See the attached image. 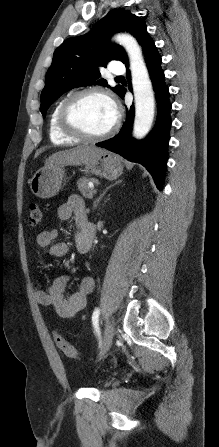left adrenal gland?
I'll use <instances>...</instances> for the list:
<instances>
[{
	"mask_svg": "<svg viewBox=\"0 0 219 447\" xmlns=\"http://www.w3.org/2000/svg\"><path fill=\"white\" fill-rule=\"evenodd\" d=\"M122 182V180H118V181H116L114 184H111V185H109L104 191H103V193L93 202V207H94V209H96L97 208V206H98V204L100 203V201L102 200V198L104 197V195L107 193V191L110 189V188H112V187H114L115 185H117V184H119V183H121Z\"/></svg>",
	"mask_w": 219,
	"mask_h": 447,
	"instance_id": "left-adrenal-gland-1",
	"label": "left adrenal gland"
}]
</instances>
